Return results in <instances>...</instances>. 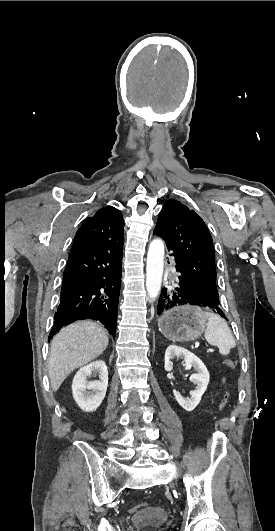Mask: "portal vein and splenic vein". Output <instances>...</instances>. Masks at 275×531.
<instances>
[{
	"mask_svg": "<svg viewBox=\"0 0 275 531\" xmlns=\"http://www.w3.org/2000/svg\"><path fill=\"white\" fill-rule=\"evenodd\" d=\"M194 344H196V346H199L198 341H194ZM208 351H210V353H214V348H208Z\"/></svg>",
	"mask_w": 275,
	"mask_h": 531,
	"instance_id": "1",
	"label": "portal vein and splenic vein"
}]
</instances>
